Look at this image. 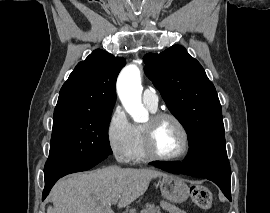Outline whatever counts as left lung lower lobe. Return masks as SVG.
<instances>
[{"label": "left lung lower lobe", "mask_w": 270, "mask_h": 213, "mask_svg": "<svg viewBox=\"0 0 270 213\" xmlns=\"http://www.w3.org/2000/svg\"><path fill=\"white\" fill-rule=\"evenodd\" d=\"M162 170L178 174H186L194 177H203L201 173V169L198 168L197 163L193 160L192 156L188 154L183 163H174L169 165H158ZM208 180L213 181L215 184L219 186L224 195L231 201V182L230 178H219V177H207Z\"/></svg>", "instance_id": "0a47b994"}]
</instances>
